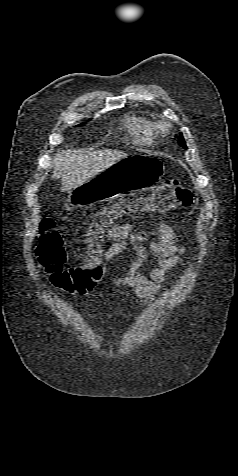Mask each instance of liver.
<instances>
[{"label":"liver","mask_w":238,"mask_h":476,"mask_svg":"<svg viewBox=\"0 0 238 476\" xmlns=\"http://www.w3.org/2000/svg\"><path fill=\"white\" fill-rule=\"evenodd\" d=\"M125 157L127 154L123 151L111 149L62 151L54 157L52 178H61L62 191H70Z\"/></svg>","instance_id":"liver-1"}]
</instances>
